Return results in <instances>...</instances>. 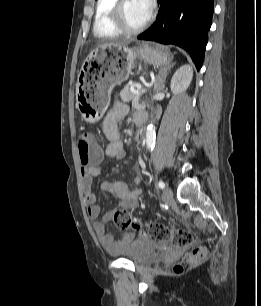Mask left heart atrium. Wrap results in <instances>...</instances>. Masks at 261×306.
Instances as JSON below:
<instances>
[{
  "instance_id": "left-heart-atrium-1",
  "label": "left heart atrium",
  "mask_w": 261,
  "mask_h": 306,
  "mask_svg": "<svg viewBox=\"0 0 261 306\" xmlns=\"http://www.w3.org/2000/svg\"><path fill=\"white\" fill-rule=\"evenodd\" d=\"M136 1L139 3L142 10L148 17L154 8V0H136Z\"/></svg>"
}]
</instances>
